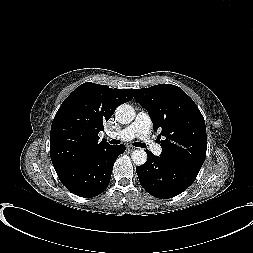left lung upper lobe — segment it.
Segmentation results:
<instances>
[{
	"instance_id": "left-lung-upper-lobe-1",
	"label": "left lung upper lobe",
	"mask_w": 253,
	"mask_h": 253,
	"mask_svg": "<svg viewBox=\"0 0 253 253\" xmlns=\"http://www.w3.org/2000/svg\"><path fill=\"white\" fill-rule=\"evenodd\" d=\"M134 99L149 113L154 131L160 130L161 157L199 171L204 163L207 135L204 118L194 101L170 84L131 89Z\"/></svg>"
}]
</instances>
